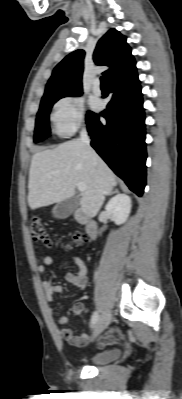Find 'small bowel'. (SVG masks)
<instances>
[{
  "mask_svg": "<svg viewBox=\"0 0 182 399\" xmlns=\"http://www.w3.org/2000/svg\"><path fill=\"white\" fill-rule=\"evenodd\" d=\"M72 260L74 264L77 266V272L76 273H71L68 272L65 276L66 281L73 285L76 288L79 289H84L87 284V279H86V273H87V266L83 259L79 257L78 255H71L69 257H64L63 261L66 260ZM56 261V257L53 255H46L43 258V263L38 266V271L41 274H44L46 272V267L52 265ZM42 287L44 290V296L46 301L49 304L53 303L54 300V295L55 294H61L63 292V287L59 284H56L53 280L52 277L49 279H45L42 281ZM84 309V305L82 303H76L73 306V311L77 315H82ZM55 311L54 307H50V312L53 314ZM69 320L66 316H61L56 320V324L58 326H61V336L72 346H85L88 341L89 337L87 334H79L75 335L73 331L67 327ZM117 339V332L115 330H110L104 334L103 337H101L97 345L100 348H103L113 342H115Z\"/></svg>",
  "mask_w": 182,
  "mask_h": 399,
  "instance_id": "1",
  "label": "small bowel"
}]
</instances>
